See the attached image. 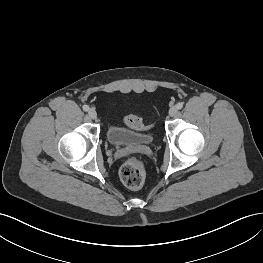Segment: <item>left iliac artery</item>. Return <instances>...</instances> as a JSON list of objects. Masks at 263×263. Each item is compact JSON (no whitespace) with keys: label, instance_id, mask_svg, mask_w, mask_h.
Masks as SVG:
<instances>
[{"label":"left iliac artery","instance_id":"1","mask_svg":"<svg viewBox=\"0 0 263 263\" xmlns=\"http://www.w3.org/2000/svg\"><path fill=\"white\" fill-rule=\"evenodd\" d=\"M176 107L177 109H182L183 103L182 102L177 103Z\"/></svg>","mask_w":263,"mask_h":263}]
</instances>
